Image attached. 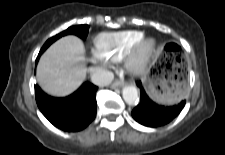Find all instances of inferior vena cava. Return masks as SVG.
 <instances>
[{
  "instance_id": "602c4592",
  "label": "inferior vena cava",
  "mask_w": 225,
  "mask_h": 155,
  "mask_svg": "<svg viewBox=\"0 0 225 155\" xmlns=\"http://www.w3.org/2000/svg\"><path fill=\"white\" fill-rule=\"evenodd\" d=\"M114 79V74L111 71L100 69L92 75V82L97 86H107Z\"/></svg>"
}]
</instances>
